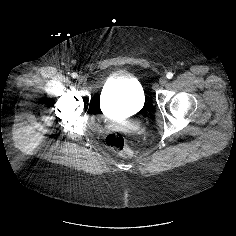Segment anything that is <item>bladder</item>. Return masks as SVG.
I'll return each mask as SVG.
<instances>
[{
	"label": "bladder",
	"instance_id": "bladder-1",
	"mask_svg": "<svg viewBox=\"0 0 236 236\" xmlns=\"http://www.w3.org/2000/svg\"><path fill=\"white\" fill-rule=\"evenodd\" d=\"M144 97L139 80L133 75L120 73L112 76L101 89L99 107L105 115L117 112L127 115L142 110Z\"/></svg>",
	"mask_w": 236,
	"mask_h": 236
}]
</instances>
